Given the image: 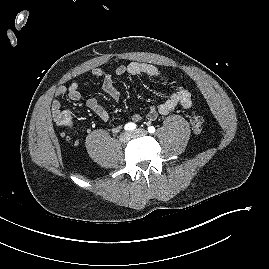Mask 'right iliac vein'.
Listing matches in <instances>:
<instances>
[{
    "mask_svg": "<svg viewBox=\"0 0 269 269\" xmlns=\"http://www.w3.org/2000/svg\"><path fill=\"white\" fill-rule=\"evenodd\" d=\"M131 136L130 132H124L120 135L119 139L121 142L126 143L131 139Z\"/></svg>",
    "mask_w": 269,
    "mask_h": 269,
    "instance_id": "1",
    "label": "right iliac vein"
}]
</instances>
